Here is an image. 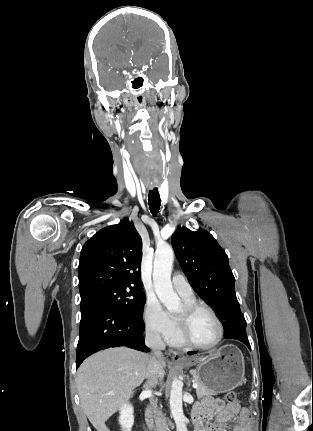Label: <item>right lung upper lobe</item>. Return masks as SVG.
<instances>
[{
  "label": "right lung upper lobe",
  "mask_w": 313,
  "mask_h": 431,
  "mask_svg": "<svg viewBox=\"0 0 313 431\" xmlns=\"http://www.w3.org/2000/svg\"><path fill=\"white\" fill-rule=\"evenodd\" d=\"M141 256L142 240L129 220L98 231L81 250L78 267L81 297L119 285L143 289Z\"/></svg>",
  "instance_id": "1"
}]
</instances>
